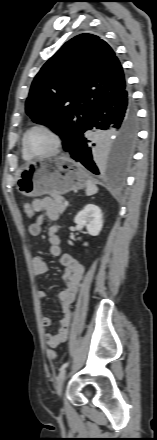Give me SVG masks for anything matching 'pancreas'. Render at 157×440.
Segmentation results:
<instances>
[{
	"instance_id": "obj_1",
	"label": "pancreas",
	"mask_w": 157,
	"mask_h": 440,
	"mask_svg": "<svg viewBox=\"0 0 157 440\" xmlns=\"http://www.w3.org/2000/svg\"><path fill=\"white\" fill-rule=\"evenodd\" d=\"M52 197L54 199V208L57 211V213L61 215L67 207L64 204L65 199L62 196H52Z\"/></svg>"
}]
</instances>
